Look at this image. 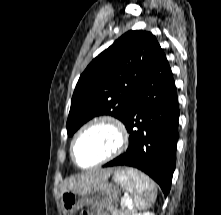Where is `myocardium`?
<instances>
[{
  "label": "myocardium",
  "mask_w": 221,
  "mask_h": 215,
  "mask_svg": "<svg viewBox=\"0 0 221 215\" xmlns=\"http://www.w3.org/2000/svg\"><path fill=\"white\" fill-rule=\"evenodd\" d=\"M96 126H104L113 131V133L116 136V143L114 148L103 158L98 160L97 162L88 165V166H82L80 165L74 154V147L77 142V140L80 138L82 134H84L87 130L96 127ZM128 145V131L124 123L117 117L113 115H100L97 117L92 118L88 122H86L84 125H82L77 132L74 134L71 143H70V156L73 161V163L81 168V169H92L95 167H98L104 163L109 162L110 160L116 158L119 156L123 151L126 149Z\"/></svg>",
  "instance_id": "f54148a6"
}]
</instances>
